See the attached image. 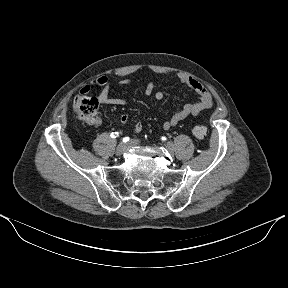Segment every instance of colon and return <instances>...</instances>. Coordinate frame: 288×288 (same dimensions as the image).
<instances>
[{
  "mask_svg": "<svg viewBox=\"0 0 288 288\" xmlns=\"http://www.w3.org/2000/svg\"><path fill=\"white\" fill-rule=\"evenodd\" d=\"M73 110L77 116L88 124H95L98 121V102L95 97L81 94L74 99ZM192 134L203 139L208 134V129L203 125H193Z\"/></svg>",
  "mask_w": 288,
  "mask_h": 288,
  "instance_id": "colon-1",
  "label": "colon"
}]
</instances>
